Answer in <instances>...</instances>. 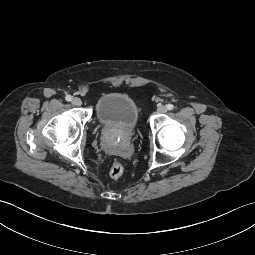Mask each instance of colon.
<instances>
[{
	"mask_svg": "<svg viewBox=\"0 0 255 255\" xmlns=\"http://www.w3.org/2000/svg\"><path fill=\"white\" fill-rule=\"evenodd\" d=\"M124 173V166L120 161H114L111 163L109 168V175L112 178H119Z\"/></svg>",
	"mask_w": 255,
	"mask_h": 255,
	"instance_id": "obj_1",
	"label": "colon"
}]
</instances>
